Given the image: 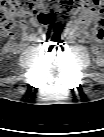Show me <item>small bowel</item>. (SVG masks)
<instances>
[{
  "mask_svg": "<svg viewBox=\"0 0 104 137\" xmlns=\"http://www.w3.org/2000/svg\"><path fill=\"white\" fill-rule=\"evenodd\" d=\"M100 20L98 13L95 10L88 9L83 11L72 23V27L69 29V34L75 38L87 39L91 42V51L97 64H102L104 61V55L102 50H98L96 46L99 45V40L87 33L86 29L92 24L98 23ZM39 22L34 19L31 21V25L37 26ZM20 28L22 35L19 41L16 40L15 34L11 32L3 33L7 37L2 53L3 54H15L25 48L30 42H32L35 36L28 31V24L21 22Z\"/></svg>",
  "mask_w": 104,
  "mask_h": 137,
  "instance_id": "c3829d8e",
  "label": "small bowel"
}]
</instances>
